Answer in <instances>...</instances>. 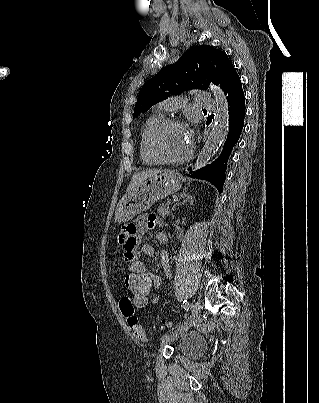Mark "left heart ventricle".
<instances>
[{"mask_svg":"<svg viewBox=\"0 0 319 403\" xmlns=\"http://www.w3.org/2000/svg\"><path fill=\"white\" fill-rule=\"evenodd\" d=\"M190 136L184 127L170 126L159 137L158 149L166 158H180L190 148Z\"/></svg>","mask_w":319,"mask_h":403,"instance_id":"b2bd125f","label":"left heart ventricle"}]
</instances>
